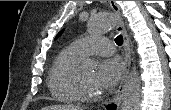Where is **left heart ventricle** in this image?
I'll return each mask as SVG.
<instances>
[{
  "instance_id": "obj_1",
  "label": "left heart ventricle",
  "mask_w": 171,
  "mask_h": 110,
  "mask_svg": "<svg viewBox=\"0 0 171 110\" xmlns=\"http://www.w3.org/2000/svg\"><path fill=\"white\" fill-rule=\"evenodd\" d=\"M80 78L88 92L100 94V90L94 84V71L92 69L80 68Z\"/></svg>"
}]
</instances>
